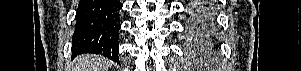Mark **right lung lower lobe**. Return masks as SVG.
<instances>
[{
  "instance_id": "obj_1",
  "label": "right lung lower lobe",
  "mask_w": 301,
  "mask_h": 71,
  "mask_svg": "<svg viewBox=\"0 0 301 71\" xmlns=\"http://www.w3.org/2000/svg\"><path fill=\"white\" fill-rule=\"evenodd\" d=\"M121 7L118 0H80L72 54H101L118 62Z\"/></svg>"
}]
</instances>
